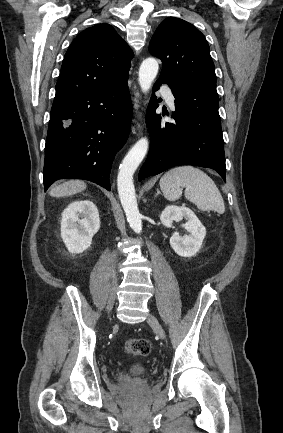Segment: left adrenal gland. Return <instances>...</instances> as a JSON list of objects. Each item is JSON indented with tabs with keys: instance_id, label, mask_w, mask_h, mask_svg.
<instances>
[{
	"instance_id": "1",
	"label": "left adrenal gland",
	"mask_w": 283,
	"mask_h": 433,
	"mask_svg": "<svg viewBox=\"0 0 283 433\" xmlns=\"http://www.w3.org/2000/svg\"><path fill=\"white\" fill-rule=\"evenodd\" d=\"M157 194H161L159 188H157V192H156L155 196H157Z\"/></svg>"
}]
</instances>
